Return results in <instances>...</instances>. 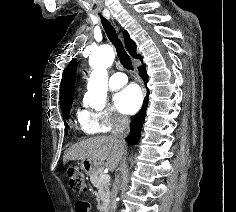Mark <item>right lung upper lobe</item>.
<instances>
[{
	"label": "right lung upper lobe",
	"instance_id": "1",
	"mask_svg": "<svg viewBox=\"0 0 236 212\" xmlns=\"http://www.w3.org/2000/svg\"><path fill=\"white\" fill-rule=\"evenodd\" d=\"M124 41L130 55L141 60L142 56L136 53V44L130 39L126 31L124 32ZM76 68L77 60L73 59L64 70L60 85V103L73 98Z\"/></svg>",
	"mask_w": 236,
	"mask_h": 212
}]
</instances>
